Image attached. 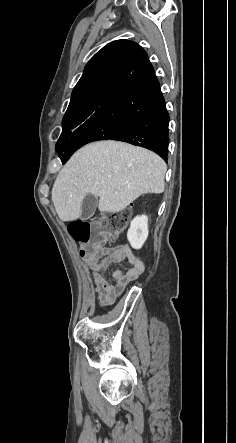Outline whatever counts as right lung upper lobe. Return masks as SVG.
<instances>
[{"label":"right lung upper lobe","mask_w":236,"mask_h":443,"mask_svg":"<svg viewBox=\"0 0 236 443\" xmlns=\"http://www.w3.org/2000/svg\"><path fill=\"white\" fill-rule=\"evenodd\" d=\"M152 67L146 52L137 43L116 40L104 46L87 63L73 89V106L91 97L113 95L134 84Z\"/></svg>","instance_id":"right-lung-upper-lobe-1"}]
</instances>
